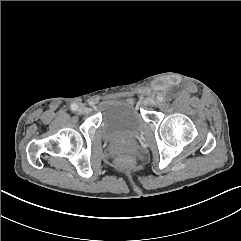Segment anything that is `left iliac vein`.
Wrapping results in <instances>:
<instances>
[{"label": "left iliac vein", "mask_w": 241, "mask_h": 241, "mask_svg": "<svg viewBox=\"0 0 241 241\" xmlns=\"http://www.w3.org/2000/svg\"><path fill=\"white\" fill-rule=\"evenodd\" d=\"M146 104L149 106H157L158 105V101L154 98H150L146 101Z\"/></svg>", "instance_id": "left-iliac-vein-1"}]
</instances>
